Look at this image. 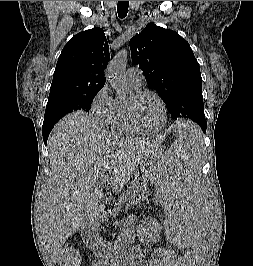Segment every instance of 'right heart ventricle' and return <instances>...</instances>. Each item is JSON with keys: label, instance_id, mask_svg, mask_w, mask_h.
Instances as JSON below:
<instances>
[{"label": "right heart ventricle", "instance_id": "right-heart-ventricle-1", "mask_svg": "<svg viewBox=\"0 0 253 266\" xmlns=\"http://www.w3.org/2000/svg\"><path fill=\"white\" fill-rule=\"evenodd\" d=\"M131 94L138 91L139 86H134L128 84ZM109 127L112 131L121 135H133L138 132L131 125L128 111H127V101L116 100L113 113L108 122Z\"/></svg>", "mask_w": 253, "mask_h": 266}]
</instances>
